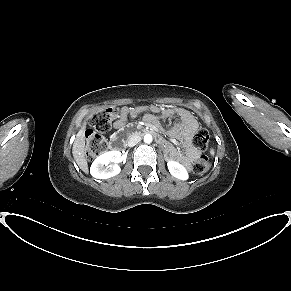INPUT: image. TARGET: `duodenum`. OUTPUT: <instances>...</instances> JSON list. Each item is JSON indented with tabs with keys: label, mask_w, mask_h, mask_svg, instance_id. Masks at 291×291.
Masks as SVG:
<instances>
[{
	"label": "duodenum",
	"mask_w": 291,
	"mask_h": 291,
	"mask_svg": "<svg viewBox=\"0 0 291 291\" xmlns=\"http://www.w3.org/2000/svg\"><path fill=\"white\" fill-rule=\"evenodd\" d=\"M153 133L149 130L145 125H141L136 123L134 125L128 124L123 129L112 136V141L109 143V150L112 153H119L122 150V144L125 138L129 137L133 133ZM153 138L158 142L165 144L167 142V138L162 136L160 133H155Z\"/></svg>",
	"instance_id": "obj_1"
}]
</instances>
